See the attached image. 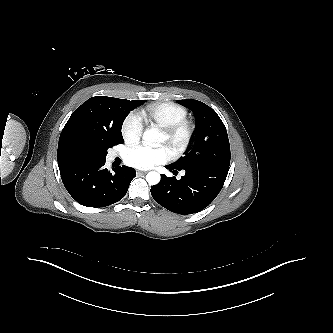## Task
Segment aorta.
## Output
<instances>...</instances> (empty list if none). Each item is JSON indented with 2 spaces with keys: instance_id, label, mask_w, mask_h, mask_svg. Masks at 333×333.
Here are the masks:
<instances>
[{
  "instance_id": "aorta-1",
  "label": "aorta",
  "mask_w": 333,
  "mask_h": 333,
  "mask_svg": "<svg viewBox=\"0 0 333 333\" xmlns=\"http://www.w3.org/2000/svg\"><path fill=\"white\" fill-rule=\"evenodd\" d=\"M163 134L158 129L145 130L142 139L147 144L158 143L162 141ZM146 181L149 185H156L160 182V174L151 171L146 175Z\"/></svg>"
}]
</instances>
